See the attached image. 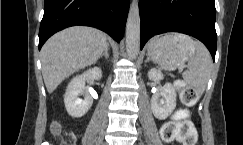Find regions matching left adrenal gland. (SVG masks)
I'll use <instances>...</instances> for the list:
<instances>
[{
	"label": "left adrenal gland",
	"mask_w": 243,
	"mask_h": 145,
	"mask_svg": "<svg viewBox=\"0 0 243 145\" xmlns=\"http://www.w3.org/2000/svg\"><path fill=\"white\" fill-rule=\"evenodd\" d=\"M150 61V57L147 56V59L145 60V63L149 62Z\"/></svg>",
	"instance_id": "left-adrenal-gland-1"
}]
</instances>
